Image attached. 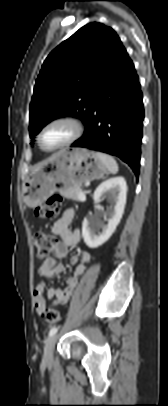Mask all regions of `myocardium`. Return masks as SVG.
Instances as JSON below:
<instances>
[{
  "instance_id": "myocardium-1",
  "label": "myocardium",
  "mask_w": 168,
  "mask_h": 406,
  "mask_svg": "<svg viewBox=\"0 0 168 406\" xmlns=\"http://www.w3.org/2000/svg\"><path fill=\"white\" fill-rule=\"evenodd\" d=\"M55 124H66L69 125L72 129V133L70 135V137L61 145L54 147V148H46L43 144H42V134L44 132V130L46 128H48L49 126L55 125ZM84 133V125L82 123V121L73 116V115H60L57 116L55 118H52L51 120L47 121L39 130L38 135H37V142L39 147L46 151V152H54V151H58L61 149H64L68 146H70L72 143H74L75 141H77Z\"/></svg>"
}]
</instances>
